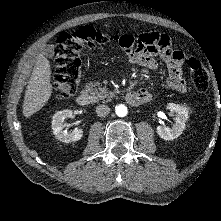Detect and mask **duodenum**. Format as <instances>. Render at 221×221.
<instances>
[{
    "label": "duodenum",
    "instance_id": "obj_1",
    "mask_svg": "<svg viewBox=\"0 0 221 221\" xmlns=\"http://www.w3.org/2000/svg\"><path fill=\"white\" fill-rule=\"evenodd\" d=\"M126 100L131 105H140L145 103L147 99L138 91H130L126 94ZM90 96L86 92H81L77 97V103L80 106H88L90 104Z\"/></svg>",
    "mask_w": 221,
    "mask_h": 221
}]
</instances>
